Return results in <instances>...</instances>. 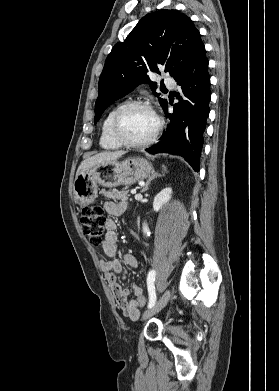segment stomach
I'll list each match as a JSON object with an SVG mask.
<instances>
[{
  "label": "stomach",
  "instance_id": "1",
  "mask_svg": "<svg viewBox=\"0 0 279 391\" xmlns=\"http://www.w3.org/2000/svg\"><path fill=\"white\" fill-rule=\"evenodd\" d=\"M154 173L144 158L133 157L122 162L100 163L81 173L74 181V198L80 206H87L97 198L98 186L116 187L133 184Z\"/></svg>",
  "mask_w": 279,
  "mask_h": 391
}]
</instances>
